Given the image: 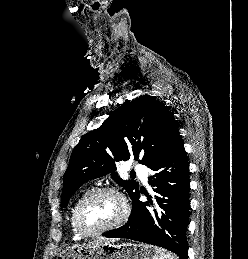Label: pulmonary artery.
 Returning a JSON list of instances; mask_svg holds the SVG:
<instances>
[{"instance_id":"pulmonary-artery-1","label":"pulmonary artery","mask_w":248,"mask_h":259,"mask_svg":"<svg viewBox=\"0 0 248 259\" xmlns=\"http://www.w3.org/2000/svg\"><path fill=\"white\" fill-rule=\"evenodd\" d=\"M134 170L139 173L142 177V179L145 181L146 180V173H145V169L142 165L136 164L134 166Z\"/></svg>"}]
</instances>
